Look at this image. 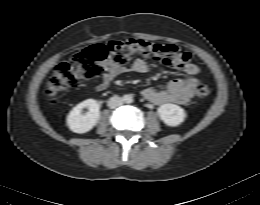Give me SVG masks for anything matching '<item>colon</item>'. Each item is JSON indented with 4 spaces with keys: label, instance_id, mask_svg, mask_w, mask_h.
I'll list each match as a JSON object with an SVG mask.
<instances>
[{
    "label": "colon",
    "instance_id": "obj_1",
    "mask_svg": "<svg viewBox=\"0 0 260 205\" xmlns=\"http://www.w3.org/2000/svg\"><path fill=\"white\" fill-rule=\"evenodd\" d=\"M135 57L154 60L171 68L182 69L190 61V54L175 45H161L143 40H115L106 44H94L57 65L46 85V95L55 102L60 93L77 86L81 81L97 78L103 72L102 63L111 59L124 65ZM211 92L206 82L196 85L195 94L205 99Z\"/></svg>",
    "mask_w": 260,
    "mask_h": 205
}]
</instances>
